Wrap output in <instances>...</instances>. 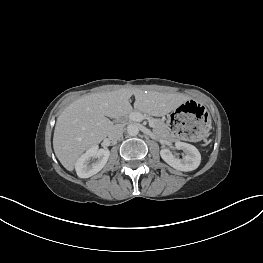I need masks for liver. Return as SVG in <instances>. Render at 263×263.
<instances>
[{
	"label": "liver",
	"instance_id": "6515ba94",
	"mask_svg": "<svg viewBox=\"0 0 263 263\" xmlns=\"http://www.w3.org/2000/svg\"><path fill=\"white\" fill-rule=\"evenodd\" d=\"M132 95L134 108L152 116H163L188 100L183 94L129 88L80 97L58 116L53 136L55 155L68 171L74 169L83 152L108 136L114 127L108 117L116 118L132 110Z\"/></svg>",
	"mask_w": 263,
	"mask_h": 263
}]
</instances>
